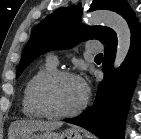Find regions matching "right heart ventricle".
Masks as SVG:
<instances>
[{
    "mask_svg": "<svg viewBox=\"0 0 141 139\" xmlns=\"http://www.w3.org/2000/svg\"><path fill=\"white\" fill-rule=\"evenodd\" d=\"M56 70L55 65L49 60L41 64L33 74L27 79L21 97V109L25 116L29 118H44L46 117L38 108L35 99L34 91L37 83L48 73Z\"/></svg>",
    "mask_w": 141,
    "mask_h": 139,
    "instance_id": "e07e8e85",
    "label": "right heart ventricle"
}]
</instances>
